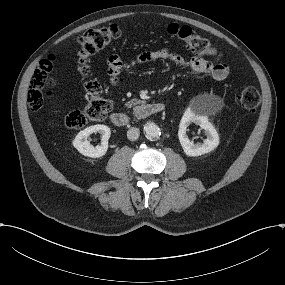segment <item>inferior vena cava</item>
Listing matches in <instances>:
<instances>
[{"instance_id":"inferior-vena-cava-1","label":"inferior vena cava","mask_w":285,"mask_h":285,"mask_svg":"<svg viewBox=\"0 0 285 285\" xmlns=\"http://www.w3.org/2000/svg\"><path fill=\"white\" fill-rule=\"evenodd\" d=\"M139 137V129L132 127L127 131V138L131 141L137 140Z\"/></svg>"}]
</instances>
